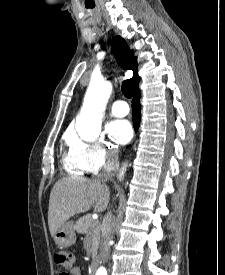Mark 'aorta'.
I'll return each instance as SVG.
<instances>
[{
    "instance_id": "1",
    "label": "aorta",
    "mask_w": 225,
    "mask_h": 275,
    "mask_svg": "<svg viewBox=\"0 0 225 275\" xmlns=\"http://www.w3.org/2000/svg\"><path fill=\"white\" fill-rule=\"evenodd\" d=\"M112 92V85L104 80H91L87 88L83 105L76 118L75 128L79 137L85 141H94L101 132L102 113ZM126 171L124 165L120 178ZM96 275H107L105 268L100 267Z\"/></svg>"
}]
</instances>
